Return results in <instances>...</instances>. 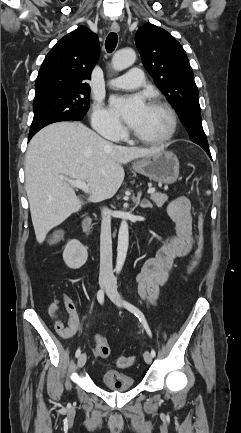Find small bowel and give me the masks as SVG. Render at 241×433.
<instances>
[{"label":"small bowel","instance_id":"small-bowel-1","mask_svg":"<svg viewBox=\"0 0 241 433\" xmlns=\"http://www.w3.org/2000/svg\"><path fill=\"white\" fill-rule=\"evenodd\" d=\"M168 214L176 223V236L168 239L155 257L143 262L137 278L140 295L151 304L156 303L161 288L167 283L174 260L188 255L193 246L190 201L185 196L176 197L168 205ZM62 299L68 314L67 323L60 319L56 301L49 305L48 313L57 334L64 339H70L80 331L81 321L72 298L63 294ZM94 340L96 345L93 352L98 356L97 346L104 338L100 332H95Z\"/></svg>","mask_w":241,"mask_h":433}]
</instances>
